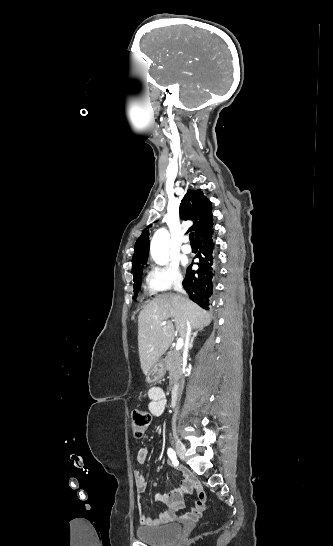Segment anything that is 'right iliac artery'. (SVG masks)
Listing matches in <instances>:
<instances>
[{"mask_svg": "<svg viewBox=\"0 0 333 546\" xmlns=\"http://www.w3.org/2000/svg\"><path fill=\"white\" fill-rule=\"evenodd\" d=\"M167 453H168L169 458L172 460V463L174 465H178V460H177V456H176L175 451L172 448H169Z\"/></svg>", "mask_w": 333, "mask_h": 546, "instance_id": "obj_1", "label": "right iliac artery"}]
</instances>
